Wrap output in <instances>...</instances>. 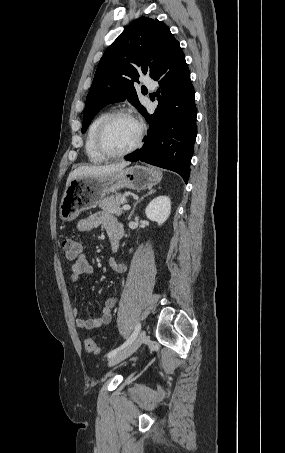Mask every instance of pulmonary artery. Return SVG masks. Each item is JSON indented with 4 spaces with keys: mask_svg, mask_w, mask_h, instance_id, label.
<instances>
[{
    "mask_svg": "<svg viewBox=\"0 0 285 453\" xmlns=\"http://www.w3.org/2000/svg\"><path fill=\"white\" fill-rule=\"evenodd\" d=\"M144 83L146 86H148L151 89L155 88V82L151 79H145Z\"/></svg>",
    "mask_w": 285,
    "mask_h": 453,
    "instance_id": "1",
    "label": "pulmonary artery"
}]
</instances>
